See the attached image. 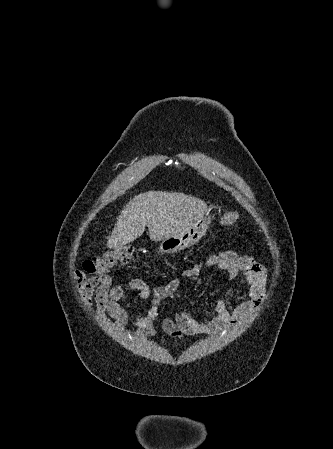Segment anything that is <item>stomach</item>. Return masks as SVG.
I'll list each match as a JSON object with an SVG mask.
<instances>
[{
	"mask_svg": "<svg viewBox=\"0 0 333 449\" xmlns=\"http://www.w3.org/2000/svg\"><path fill=\"white\" fill-rule=\"evenodd\" d=\"M210 222L209 216H202L178 234L162 239L159 246L160 252L171 254L196 244L205 235Z\"/></svg>",
	"mask_w": 333,
	"mask_h": 449,
	"instance_id": "0dacf381",
	"label": "stomach"
}]
</instances>
